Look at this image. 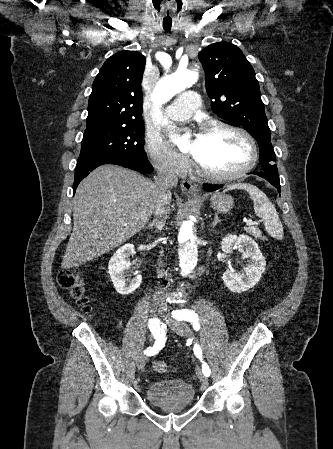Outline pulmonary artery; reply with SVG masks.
Instances as JSON below:
<instances>
[{"instance_id": "e3ab8cb5", "label": "pulmonary artery", "mask_w": 333, "mask_h": 449, "mask_svg": "<svg viewBox=\"0 0 333 449\" xmlns=\"http://www.w3.org/2000/svg\"><path fill=\"white\" fill-rule=\"evenodd\" d=\"M200 104V96L195 91H185L166 107L169 118L177 121L187 119Z\"/></svg>"}]
</instances>
